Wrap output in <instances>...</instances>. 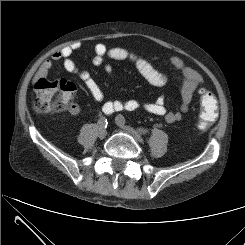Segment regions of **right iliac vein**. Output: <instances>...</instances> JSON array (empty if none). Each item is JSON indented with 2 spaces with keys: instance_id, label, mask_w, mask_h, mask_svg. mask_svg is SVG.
Masks as SVG:
<instances>
[{
  "instance_id": "1",
  "label": "right iliac vein",
  "mask_w": 245,
  "mask_h": 245,
  "mask_svg": "<svg viewBox=\"0 0 245 245\" xmlns=\"http://www.w3.org/2000/svg\"><path fill=\"white\" fill-rule=\"evenodd\" d=\"M106 134H107L106 128L104 126L99 125V128H98V136L100 138H104L106 136Z\"/></svg>"
}]
</instances>
